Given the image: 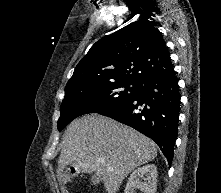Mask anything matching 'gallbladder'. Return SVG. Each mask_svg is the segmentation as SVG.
<instances>
[{"label": "gallbladder", "mask_w": 221, "mask_h": 193, "mask_svg": "<svg viewBox=\"0 0 221 193\" xmlns=\"http://www.w3.org/2000/svg\"><path fill=\"white\" fill-rule=\"evenodd\" d=\"M101 180H102L101 177H99V176H97V175H94V176H92V178H91V182H92L94 185L98 184Z\"/></svg>", "instance_id": "obj_1"}]
</instances>
